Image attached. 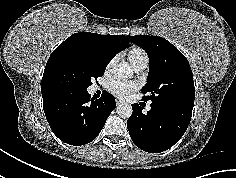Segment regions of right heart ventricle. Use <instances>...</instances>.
I'll return each mask as SVG.
<instances>
[{
	"label": "right heart ventricle",
	"instance_id": "obj_1",
	"mask_svg": "<svg viewBox=\"0 0 236 178\" xmlns=\"http://www.w3.org/2000/svg\"><path fill=\"white\" fill-rule=\"evenodd\" d=\"M127 58L134 69L145 65L148 66V54L140 47H133L127 52Z\"/></svg>",
	"mask_w": 236,
	"mask_h": 178
}]
</instances>
